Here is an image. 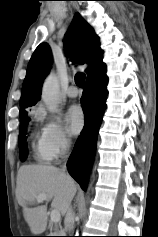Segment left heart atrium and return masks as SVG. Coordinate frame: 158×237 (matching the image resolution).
I'll list each match as a JSON object with an SVG mask.
<instances>
[{
	"instance_id": "left-heart-atrium-1",
	"label": "left heart atrium",
	"mask_w": 158,
	"mask_h": 237,
	"mask_svg": "<svg viewBox=\"0 0 158 237\" xmlns=\"http://www.w3.org/2000/svg\"><path fill=\"white\" fill-rule=\"evenodd\" d=\"M66 120L69 131L76 135L81 132L85 124L83 110L78 105H72L66 113Z\"/></svg>"
}]
</instances>
